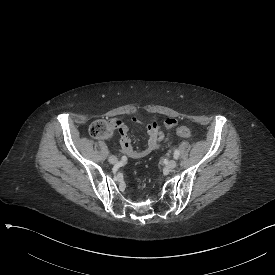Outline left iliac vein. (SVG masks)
<instances>
[{
    "instance_id": "1",
    "label": "left iliac vein",
    "mask_w": 275,
    "mask_h": 275,
    "mask_svg": "<svg viewBox=\"0 0 275 275\" xmlns=\"http://www.w3.org/2000/svg\"><path fill=\"white\" fill-rule=\"evenodd\" d=\"M177 165V162L176 160L172 159V160H169L166 164V169L167 170H173Z\"/></svg>"
}]
</instances>
